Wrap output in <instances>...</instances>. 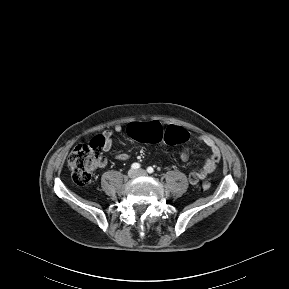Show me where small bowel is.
<instances>
[{"label": "small bowel", "mask_w": 289, "mask_h": 289, "mask_svg": "<svg viewBox=\"0 0 289 289\" xmlns=\"http://www.w3.org/2000/svg\"><path fill=\"white\" fill-rule=\"evenodd\" d=\"M123 130V127L121 125H116L113 129L106 130L102 137L104 138L105 144L103 147L104 151H109L112 146V135L114 132H121ZM200 142L207 146L210 151V155L206 159L204 165L202 168L198 171H193L189 174V182L193 185L199 183L201 180L206 178L208 175H210L217 167V164L220 161V151L215 142L207 137V136H201L199 138ZM181 159L185 160L187 158V151L185 148L181 150ZM116 158L121 161H125L129 158L127 153H118L116 154ZM101 166L104 165V162L102 161Z\"/></svg>", "instance_id": "c3829d8e"}]
</instances>
